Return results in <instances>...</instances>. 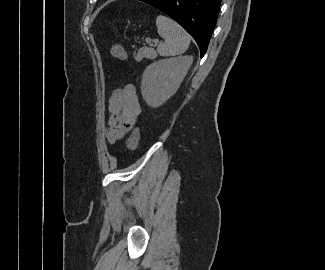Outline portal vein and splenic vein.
I'll list each match as a JSON object with an SVG mask.
<instances>
[{"label": "portal vein and splenic vein", "mask_w": 325, "mask_h": 270, "mask_svg": "<svg viewBox=\"0 0 325 270\" xmlns=\"http://www.w3.org/2000/svg\"><path fill=\"white\" fill-rule=\"evenodd\" d=\"M145 41H146V43H148L151 46L157 45L159 43V40L152 41L150 38H146Z\"/></svg>", "instance_id": "1"}]
</instances>
